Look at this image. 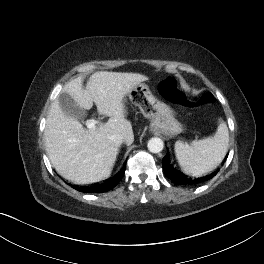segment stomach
I'll return each mask as SVG.
<instances>
[{
	"label": "stomach",
	"mask_w": 264,
	"mask_h": 264,
	"mask_svg": "<svg viewBox=\"0 0 264 264\" xmlns=\"http://www.w3.org/2000/svg\"><path fill=\"white\" fill-rule=\"evenodd\" d=\"M128 96L139 107L143 116L150 119L152 132L173 137L183 131L182 124L175 118L172 108L158 100L145 83L137 84Z\"/></svg>",
	"instance_id": "stomach-1"
}]
</instances>
